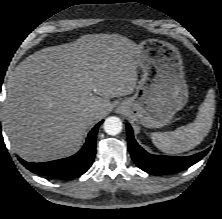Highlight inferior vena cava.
Returning <instances> with one entry per match:
<instances>
[{
	"label": "inferior vena cava",
	"instance_id": "602c4592",
	"mask_svg": "<svg viewBox=\"0 0 222 219\" xmlns=\"http://www.w3.org/2000/svg\"><path fill=\"white\" fill-rule=\"evenodd\" d=\"M98 111H99L98 109H94V110H92V111H91V115L96 114Z\"/></svg>",
	"mask_w": 222,
	"mask_h": 219
}]
</instances>
